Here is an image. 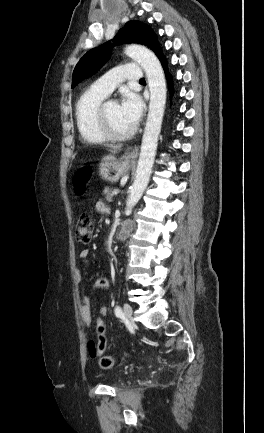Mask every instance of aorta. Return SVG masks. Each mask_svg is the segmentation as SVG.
I'll use <instances>...</instances> for the list:
<instances>
[{"instance_id":"aorta-1","label":"aorta","mask_w":264,"mask_h":433,"mask_svg":"<svg viewBox=\"0 0 264 433\" xmlns=\"http://www.w3.org/2000/svg\"><path fill=\"white\" fill-rule=\"evenodd\" d=\"M125 54L137 61L143 68L150 90L149 112L142 138L136 176L126 202L125 213L130 214L133 207L142 197L152 173L165 110L167 89L162 66L152 51L140 45H129L125 49Z\"/></svg>"}]
</instances>
